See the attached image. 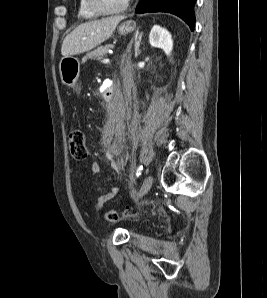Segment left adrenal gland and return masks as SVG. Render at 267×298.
<instances>
[{
    "label": "left adrenal gland",
    "mask_w": 267,
    "mask_h": 298,
    "mask_svg": "<svg viewBox=\"0 0 267 298\" xmlns=\"http://www.w3.org/2000/svg\"><path fill=\"white\" fill-rule=\"evenodd\" d=\"M142 35H143V33H139L138 31L134 34V37L131 39L130 43L127 46L126 55L131 56V48H132L133 42H135V44H134L135 57H138V55H140L141 51H140L139 47H140Z\"/></svg>",
    "instance_id": "left-adrenal-gland-1"
}]
</instances>
